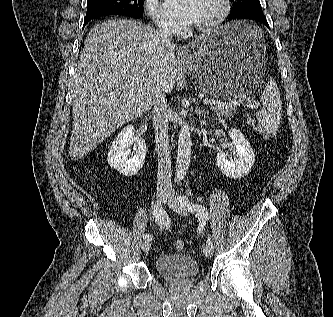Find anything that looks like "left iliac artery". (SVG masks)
I'll return each instance as SVG.
<instances>
[{
    "mask_svg": "<svg viewBox=\"0 0 333 317\" xmlns=\"http://www.w3.org/2000/svg\"><path fill=\"white\" fill-rule=\"evenodd\" d=\"M177 199L181 206L187 208L192 213H195L199 220H208L210 218L207 208L202 205L191 203L186 195H179Z\"/></svg>",
    "mask_w": 333,
    "mask_h": 317,
    "instance_id": "obj_1",
    "label": "left iliac artery"
}]
</instances>
